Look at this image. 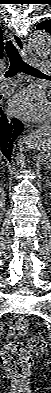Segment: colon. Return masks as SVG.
<instances>
[{"mask_svg": "<svg viewBox=\"0 0 51 393\" xmlns=\"http://www.w3.org/2000/svg\"><path fill=\"white\" fill-rule=\"evenodd\" d=\"M27 328L28 320L23 316H15L10 321V330L14 336H20ZM28 346L34 355H43L47 351V342L42 336L31 337ZM1 362L15 378H22L32 367L33 359L24 347L8 345L1 353Z\"/></svg>", "mask_w": 51, "mask_h": 393, "instance_id": "1", "label": "colon"}]
</instances>
